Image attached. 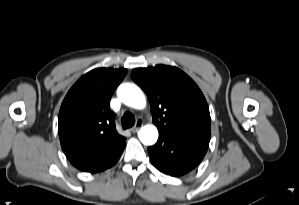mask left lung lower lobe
Wrapping results in <instances>:
<instances>
[{
	"label": "left lung lower lobe",
	"mask_w": 299,
	"mask_h": 205,
	"mask_svg": "<svg viewBox=\"0 0 299 205\" xmlns=\"http://www.w3.org/2000/svg\"><path fill=\"white\" fill-rule=\"evenodd\" d=\"M209 141L177 135L160 136L148 147L153 165L161 172L179 177L194 169L203 159Z\"/></svg>",
	"instance_id": "1"
}]
</instances>
